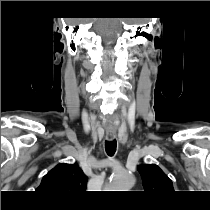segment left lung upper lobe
Returning <instances> with one entry per match:
<instances>
[{
    "label": "left lung upper lobe",
    "mask_w": 210,
    "mask_h": 210,
    "mask_svg": "<svg viewBox=\"0 0 210 210\" xmlns=\"http://www.w3.org/2000/svg\"><path fill=\"white\" fill-rule=\"evenodd\" d=\"M146 193H167L173 191L172 181L155 164L137 167Z\"/></svg>",
    "instance_id": "5c2ea615"
}]
</instances>
